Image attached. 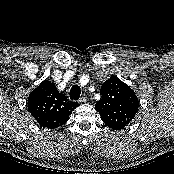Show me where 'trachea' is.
<instances>
[{
	"label": "trachea",
	"mask_w": 174,
	"mask_h": 174,
	"mask_svg": "<svg viewBox=\"0 0 174 174\" xmlns=\"http://www.w3.org/2000/svg\"><path fill=\"white\" fill-rule=\"evenodd\" d=\"M80 94H81V88L78 85H74L72 86L71 90H70V99L71 100H78L80 98Z\"/></svg>",
	"instance_id": "1"
}]
</instances>
